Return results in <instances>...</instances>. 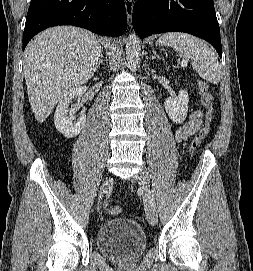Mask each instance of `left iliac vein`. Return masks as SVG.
I'll use <instances>...</instances> for the list:
<instances>
[{"label":"left iliac vein","instance_id":"1","mask_svg":"<svg viewBox=\"0 0 253 271\" xmlns=\"http://www.w3.org/2000/svg\"><path fill=\"white\" fill-rule=\"evenodd\" d=\"M134 179L138 181L142 191L147 219L152 226H155L158 222V215L155 202L152 200L150 193V180L147 170L145 168L140 169L134 175Z\"/></svg>","mask_w":253,"mask_h":271}]
</instances>
